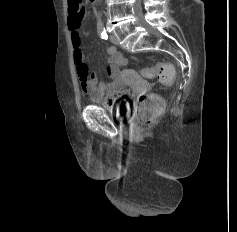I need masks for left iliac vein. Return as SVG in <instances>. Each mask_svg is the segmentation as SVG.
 <instances>
[{
    "mask_svg": "<svg viewBox=\"0 0 237 232\" xmlns=\"http://www.w3.org/2000/svg\"><path fill=\"white\" fill-rule=\"evenodd\" d=\"M110 41H111L114 45H118V38L116 37V35L111 34V35H110Z\"/></svg>",
    "mask_w": 237,
    "mask_h": 232,
    "instance_id": "1",
    "label": "left iliac vein"
}]
</instances>
